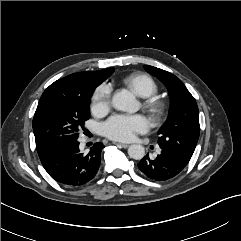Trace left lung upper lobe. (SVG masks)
<instances>
[{"instance_id":"1","label":"left lung upper lobe","mask_w":241,"mask_h":241,"mask_svg":"<svg viewBox=\"0 0 241 241\" xmlns=\"http://www.w3.org/2000/svg\"><path fill=\"white\" fill-rule=\"evenodd\" d=\"M145 68L164 83L171 98L170 115L158 131L160 136L158 144L161 149L169 151L187 165L195 150L200 132L196 101L175 75L149 65Z\"/></svg>"}]
</instances>
